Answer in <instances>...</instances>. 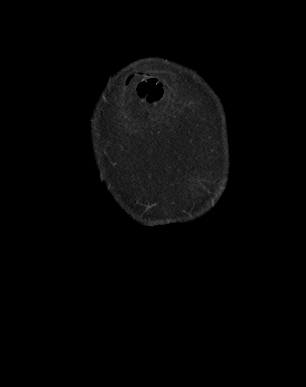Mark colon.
Segmentation results:
<instances>
[{
    "mask_svg": "<svg viewBox=\"0 0 306 387\" xmlns=\"http://www.w3.org/2000/svg\"><path fill=\"white\" fill-rule=\"evenodd\" d=\"M140 96L147 103H157L163 96V87L156 78H149L140 84Z\"/></svg>",
    "mask_w": 306,
    "mask_h": 387,
    "instance_id": "obj_1",
    "label": "colon"
}]
</instances>
